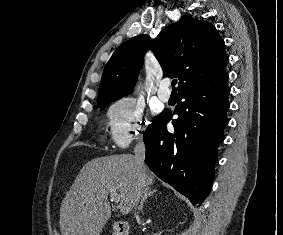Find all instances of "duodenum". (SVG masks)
<instances>
[{
	"label": "duodenum",
	"mask_w": 283,
	"mask_h": 235,
	"mask_svg": "<svg viewBox=\"0 0 283 235\" xmlns=\"http://www.w3.org/2000/svg\"><path fill=\"white\" fill-rule=\"evenodd\" d=\"M112 228L114 235H129V226L124 221H114Z\"/></svg>",
	"instance_id": "1"
}]
</instances>
